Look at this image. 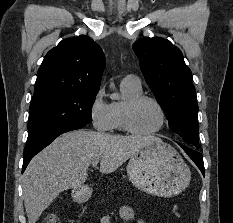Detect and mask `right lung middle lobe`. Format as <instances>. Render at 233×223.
<instances>
[{
	"instance_id": "dd1d6c3e",
	"label": "right lung middle lobe",
	"mask_w": 233,
	"mask_h": 223,
	"mask_svg": "<svg viewBox=\"0 0 233 223\" xmlns=\"http://www.w3.org/2000/svg\"><path fill=\"white\" fill-rule=\"evenodd\" d=\"M97 93L52 91L33 95L24 156L38 149L64 127L85 126L91 122L92 105Z\"/></svg>"
}]
</instances>
